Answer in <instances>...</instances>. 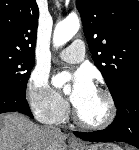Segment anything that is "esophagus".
Returning <instances> with one entry per match:
<instances>
[{"instance_id":"34e87169","label":"esophagus","mask_w":139,"mask_h":150,"mask_svg":"<svg viewBox=\"0 0 139 150\" xmlns=\"http://www.w3.org/2000/svg\"><path fill=\"white\" fill-rule=\"evenodd\" d=\"M69 142L73 145H81L82 143L75 137H70Z\"/></svg>"}]
</instances>
